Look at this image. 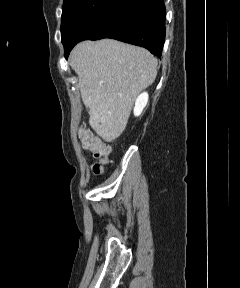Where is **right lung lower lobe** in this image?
I'll return each mask as SVG.
<instances>
[{"instance_id":"1","label":"right lung lower lobe","mask_w":240,"mask_h":288,"mask_svg":"<svg viewBox=\"0 0 240 288\" xmlns=\"http://www.w3.org/2000/svg\"><path fill=\"white\" fill-rule=\"evenodd\" d=\"M164 0H116L83 34L80 41L112 38L161 56L165 40ZM74 45L65 48L67 58Z\"/></svg>"}]
</instances>
